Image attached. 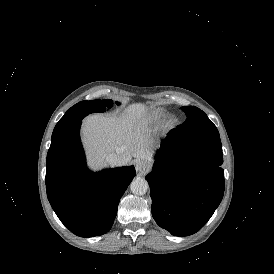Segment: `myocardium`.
Listing matches in <instances>:
<instances>
[{"label":"myocardium","instance_id":"1","mask_svg":"<svg viewBox=\"0 0 274 274\" xmlns=\"http://www.w3.org/2000/svg\"><path fill=\"white\" fill-rule=\"evenodd\" d=\"M181 124V117L176 114L169 115L163 122L162 129L164 132L173 131Z\"/></svg>","mask_w":274,"mask_h":274}]
</instances>
